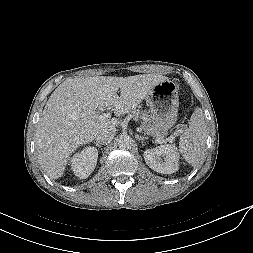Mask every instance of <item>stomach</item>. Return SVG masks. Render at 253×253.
<instances>
[{
    "label": "stomach",
    "instance_id": "1",
    "mask_svg": "<svg viewBox=\"0 0 253 253\" xmlns=\"http://www.w3.org/2000/svg\"><path fill=\"white\" fill-rule=\"evenodd\" d=\"M150 111V120L154 128L167 133L177 121L178 85L171 80L158 83L146 97Z\"/></svg>",
    "mask_w": 253,
    "mask_h": 253
}]
</instances>
